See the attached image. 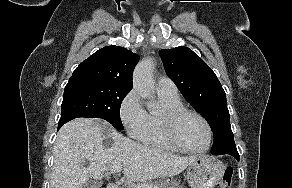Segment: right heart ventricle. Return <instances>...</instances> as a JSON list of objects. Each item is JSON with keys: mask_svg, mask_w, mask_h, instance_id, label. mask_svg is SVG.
I'll return each instance as SVG.
<instances>
[{"mask_svg": "<svg viewBox=\"0 0 292 188\" xmlns=\"http://www.w3.org/2000/svg\"><path fill=\"white\" fill-rule=\"evenodd\" d=\"M158 96L163 105V111L183 106L179 96L170 97L160 93H158ZM163 111H151L147 113L146 126L138 139L145 145L167 150H177L163 132L161 126V115Z\"/></svg>", "mask_w": 292, "mask_h": 188, "instance_id": "1", "label": "right heart ventricle"}]
</instances>
